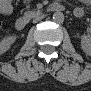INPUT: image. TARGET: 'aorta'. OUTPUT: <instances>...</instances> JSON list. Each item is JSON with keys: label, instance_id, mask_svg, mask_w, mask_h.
<instances>
[{"label": "aorta", "instance_id": "obj_1", "mask_svg": "<svg viewBox=\"0 0 91 91\" xmlns=\"http://www.w3.org/2000/svg\"><path fill=\"white\" fill-rule=\"evenodd\" d=\"M53 21L55 23H59V24L63 23L64 22V14L62 12H59V11L55 12L53 14Z\"/></svg>", "mask_w": 91, "mask_h": 91}]
</instances>
